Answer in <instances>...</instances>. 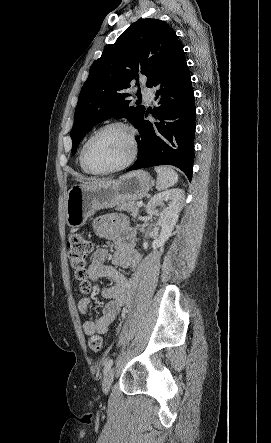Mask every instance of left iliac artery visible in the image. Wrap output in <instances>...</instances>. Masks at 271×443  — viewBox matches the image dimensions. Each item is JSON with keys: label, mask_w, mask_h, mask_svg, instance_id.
Listing matches in <instances>:
<instances>
[{"label": "left iliac artery", "mask_w": 271, "mask_h": 443, "mask_svg": "<svg viewBox=\"0 0 271 443\" xmlns=\"http://www.w3.org/2000/svg\"><path fill=\"white\" fill-rule=\"evenodd\" d=\"M112 365H113V359H109L105 364L104 372H108L111 369Z\"/></svg>", "instance_id": "obj_1"}]
</instances>
